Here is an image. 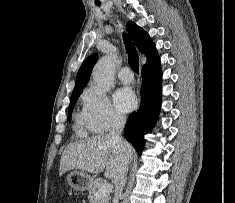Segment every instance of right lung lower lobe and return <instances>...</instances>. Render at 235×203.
Instances as JSON below:
<instances>
[{"mask_svg":"<svg viewBox=\"0 0 235 203\" xmlns=\"http://www.w3.org/2000/svg\"><path fill=\"white\" fill-rule=\"evenodd\" d=\"M162 71L159 56L147 62L142 69L141 107L138 112L130 114L124 138L128 140L140 155L143 136L154 126L161 103Z\"/></svg>","mask_w":235,"mask_h":203,"instance_id":"1","label":"right lung lower lobe"}]
</instances>
